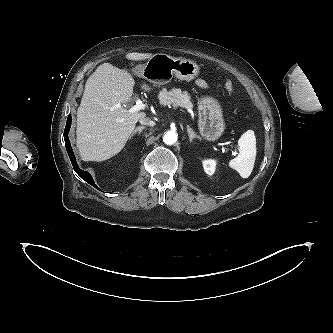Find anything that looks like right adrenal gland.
Here are the masks:
<instances>
[{
	"label": "right adrenal gland",
	"mask_w": 333,
	"mask_h": 333,
	"mask_svg": "<svg viewBox=\"0 0 333 333\" xmlns=\"http://www.w3.org/2000/svg\"><path fill=\"white\" fill-rule=\"evenodd\" d=\"M143 129H145L144 126H138V127H136L135 130L132 132V134L130 135L129 138L131 139L133 137V135L136 134V133L140 134Z\"/></svg>",
	"instance_id": "1"
}]
</instances>
